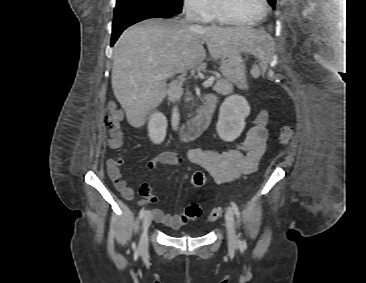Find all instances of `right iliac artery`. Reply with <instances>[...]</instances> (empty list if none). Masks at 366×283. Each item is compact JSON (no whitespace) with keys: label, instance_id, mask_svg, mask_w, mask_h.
Segmentation results:
<instances>
[{"label":"right iliac artery","instance_id":"82829eb1","mask_svg":"<svg viewBox=\"0 0 366 283\" xmlns=\"http://www.w3.org/2000/svg\"><path fill=\"white\" fill-rule=\"evenodd\" d=\"M144 215H145V209H144V208H142V209H141V211H140V213H139V218H140V219H142V218L144 217ZM132 248H133L135 251L137 250V248H136V244H135V243H133Z\"/></svg>","mask_w":366,"mask_h":283}]
</instances>
